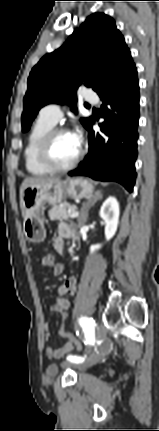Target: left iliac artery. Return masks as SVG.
<instances>
[{"label":"left iliac artery","mask_w":159,"mask_h":431,"mask_svg":"<svg viewBox=\"0 0 159 431\" xmlns=\"http://www.w3.org/2000/svg\"><path fill=\"white\" fill-rule=\"evenodd\" d=\"M80 324L83 327V330L85 331L87 342L89 344H93L94 343L93 331H94V325H95L94 320L92 318L82 317L80 318ZM67 359L73 363H82L85 360V357L71 355V356H68Z\"/></svg>","instance_id":"obj_1"}]
</instances>
